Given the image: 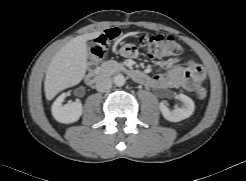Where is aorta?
Listing matches in <instances>:
<instances>
[{
	"label": "aorta",
	"mask_w": 246,
	"mask_h": 181,
	"mask_svg": "<svg viewBox=\"0 0 246 181\" xmlns=\"http://www.w3.org/2000/svg\"><path fill=\"white\" fill-rule=\"evenodd\" d=\"M113 82L116 86L121 87L125 84L126 79H125L124 75L117 74L114 76Z\"/></svg>",
	"instance_id": "aorta-1"
}]
</instances>
